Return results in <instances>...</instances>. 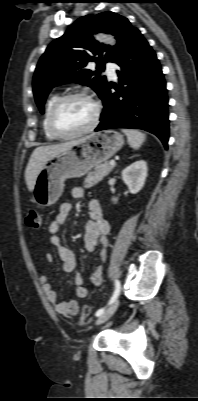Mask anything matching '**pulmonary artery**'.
<instances>
[{"label": "pulmonary artery", "mask_w": 198, "mask_h": 401, "mask_svg": "<svg viewBox=\"0 0 198 401\" xmlns=\"http://www.w3.org/2000/svg\"><path fill=\"white\" fill-rule=\"evenodd\" d=\"M115 67H116L115 64L112 62L106 63L107 73H108L109 77L112 79H116Z\"/></svg>", "instance_id": "obj_1"}]
</instances>
